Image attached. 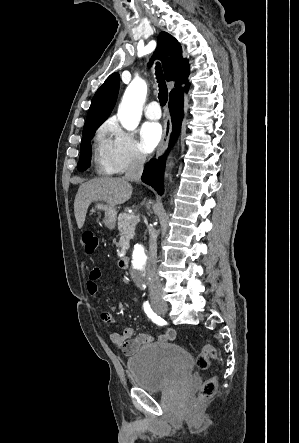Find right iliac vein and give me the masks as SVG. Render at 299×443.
Masks as SVG:
<instances>
[{"label":"right iliac vein","instance_id":"1","mask_svg":"<svg viewBox=\"0 0 299 443\" xmlns=\"http://www.w3.org/2000/svg\"><path fill=\"white\" fill-rule=\"evenodd\" d=\"M154 308L160 314H166L168 312V306L166 303H156Z\"/></svg>","mask_w":299,"mask_h":443}]
</instances>
